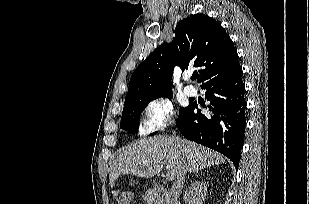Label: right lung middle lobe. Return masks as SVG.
I'll list each match as a JSON object with an SVG mask.
<instances>
[{
	"instance_id": "1",
	"label": "right lung middle lobe",
	"mask_w": 309,
	"mask_h": 204,
	"mask_svg": "<svg viewBox=\"0 0 309 204\" xmlns=\"http://www.w3.org/2000/svg\"><path fill=\"white\" fill-rule=\"evenodd\" d=\"M159 97H171V93L162 94L158 96L152 97H145V98H138L125 101L120 128L128 131L129 133H137L139 127V116L142 111L145 109L147 104L152 100L159 98ZM188 107L180 108L179 116L176 121V124L179 123L181 118L183 117L184 113L186 112ZM157 132L152 133L151 135L156 134Z\"/></svg>"
}]
</instances>
